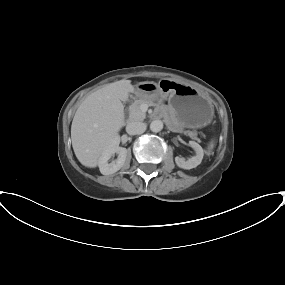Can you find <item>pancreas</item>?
<instances>
[{"label":"pancreas","mask_w":285,"mask_h":285,"mask_svg":"<svg viewBox=\"0 0 285 285\" xmlns=\"http://www.w3.org/2000/svg\"><path fill=\"white\" fill-rule=\"evenodd\" d=\"M147 104L148 106H154L155 103L152 100L139 98L136 99L129 107V117L131 120L142 121L145 119L146 114L141 111V105ZM187 134L193 138L197 139V133L193 131H187Z\"/></svg>","instance_id":"cf45deb5"}]
</instances>
